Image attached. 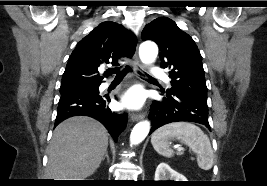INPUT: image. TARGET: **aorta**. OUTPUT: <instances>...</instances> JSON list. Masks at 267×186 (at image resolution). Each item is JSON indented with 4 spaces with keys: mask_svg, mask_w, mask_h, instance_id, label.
Segmentation results:
<instances>
[{
    "mask_svg": "<svg viewBox=\"0 0 267 186\" xmlns=\"http://www.w3.org/2000/svg\"><path fill=\"white\" fill-rule=\"evenodd\" d=\"M158 55V47L154 42L146 41L140 45L139 56L143 63L152 64ZM150 131V122L142 121L136 124L130 135L132 145L142 142Z\"/></svg>",
    "mask_w": 267,
    "mask_h": 186,
    "instance_id": "1",
    "label": "aorta"
}]
</instances>
